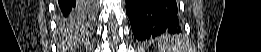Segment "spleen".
Wrapping results in <instances>:
<instances>
[{"label":"spleen","mask_w":261,"mask_h":52,"mask_svg":"<svg viewBox=\"0 0 261 52\" xmlns=\"http://www.w3.org/2000/svg\"><path fill=\"white\" fill-rule=\"evenodd\" d=\"M160 52H176L180 47V38L172 36H162L158 42Z\"/></svg>","instance_id":"spleen-1"}]
</instances>
